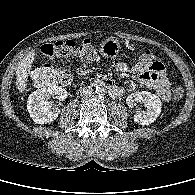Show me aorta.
<instances>
[{"instance_id":"obj_1","label":"aorta","mask_w":195,"mask_h":195,"mask_svg":"<svg viewBox=\"0 0 195 195\" xmlns=\"http://www.w3.org/2000/svg\"><path fill=\"white\" fill-rule=\"evenodd\" d=\"M95 94L101 98L106 94V89L104 87H97L95 90Z\"/></svg>"}]
</instances>
